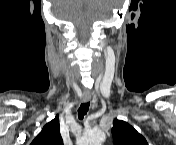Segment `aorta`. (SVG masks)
<instances>
[{
  "label": "aorta",
  "mask_w": 176,
  "mask_h": 145,
  "mask_svg": "<svg viewBox=\"0 0 176 145\" xmlns=\"http://www.w3.org/2000/svg\"><path fill=\"white\" fill-rule=\"evenodd\" d=\"M105 138V134L101 129L93 128L84 133L81 142L83 145H102Z\"/></svg>",
  "instance_id": "aorta-1"
}]
</instances>
